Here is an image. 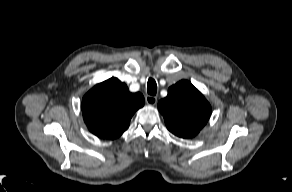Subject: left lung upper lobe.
Segmentation results:
<instances>
[{
    "instance_id": "5c2ea615",
    "label": "left lung upper lobe",
    "mask_w": 292,
    "mask_h": 192,
    "mask_svg": "<svg viewBox=\"0 0 292 192\" xmlns=\"http://www.w3.org/2000/svg\"><path fill=\"white\" fill-rule=\"evenodd\" d=\"M158 109L167 129L182 138L196 136L211 115L210 104L187 80L171 86L167 97L158 102Z\"/></svg>"
}]
</instances>
